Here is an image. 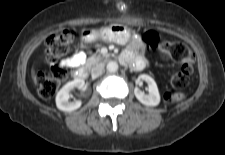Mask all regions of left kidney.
I'll use <instances>...</instances> for the list:
<instances>
[{"label": "left kidney", "instance_id": "left-kidney-1", "mask_svg": "<svg viewBox=\"0 0 225 155\" xmlns=\"http://www.w3.org/2000/svg\"><path fill=\"white\" fill-rule=\"evenodd\" d=\"M146 81L148 84V94L142 92L138 87H135L134 94L136 98L146 106H157L160 103V94L156 82L147 74L139 75L136 84Z\"/></svg>", "mask_w": 225, "mask_h": 155}]
</instances>
